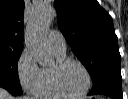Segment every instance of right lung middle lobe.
<instances>
[{"mask_svg":"<svg viewBox=\"0 0 128 99\" xmlns=\"http://www.w3.org/2000/svg\"><path fill=\"white\" fill-rule=\"evenodd\" d=\"M22 48L0 47V81L21 89L17 62Z\"/></svg>","mask_w":128,"mask_h":99,"instance_id":"right-lung-middle-lobe-1","label":"right lung middle lobe"}]
</instances>
